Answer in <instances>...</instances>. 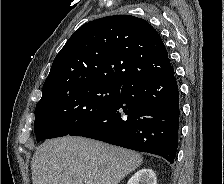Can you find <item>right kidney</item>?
Returning a JSON list of instances; mask_svg holds the SVG:
<instances>
[{"mask_svg": "<svg viewBox=\"0 0 224 184\" xmlns=\"http://www.w3.org/2000/svg\"><path fill=\"white\" fill-rule=\"evenodd\" d=\"M127 184H157L156 175L151 169H141L136 172Z\"/></svg>", "mask_w": 224, "mask_h": 184, "instance_id": "ca27d5eb", "label": "right kidney"}]
</instances>
